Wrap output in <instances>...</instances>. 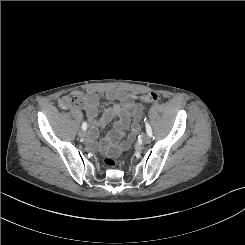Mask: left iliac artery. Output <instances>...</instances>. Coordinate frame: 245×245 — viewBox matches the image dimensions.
Returning <instances> with one entry per match:
<instances>
[{
  "mask_svg": "<svg viewBox=\"0 0 245 245\" xmlns=\"http://www.w3.org/2000/svg\"><path fill=\"white\" fill-rule=\"evenodd\" d=\"M145 120H146V118H145ZM145 126H146V132H147V134L152 137V129H151L149 123L146 122L145 123Z\"/></svg>",
  "mask_w": 245,
  "mask_h": 245,
  "instance_id": "left-iliac-artery-1",
  "label": "left iliac artery"
}]
</instances>
